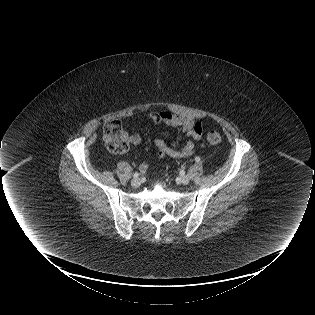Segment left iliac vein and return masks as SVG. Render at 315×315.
<instances>
[{
	"label": "left iliac vein",
	"mask_w": 315,
	"mask_h": 315,
	"mask_svg": "<svg viewBox=\"0 0 315 315\" xmlns=\"http://www.w3.org/2000/svg\"><path fill=\"white\" fill-rule=\"evenodd\" d=\"M179 182H180L181 184L186 185V184H188V183L190 182V177L187 176V175H181V176L179 177Z\"/></svg>",
	"instance_id": "obj_1"
}]
</instances>
